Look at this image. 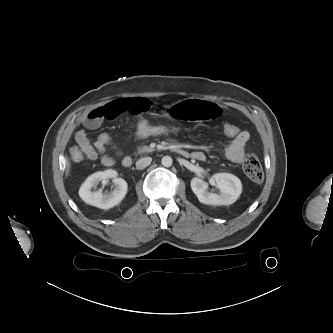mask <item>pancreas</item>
I'll return each instance as SVG.
<instances>
[{
    "instance_id": "1",
    "label": "pancreas",
    "mask_w": 333,
    "mask_h": 333,
    "mask_svg": "<svg viewBox=\"0 0 333 333\" xmlns=\"http://www.w3.org/2000/svg\"><path fill=\"white\" fill-rule=\"evenodd\" d=\"M149 148L147 146H142V147H138V152L139 153H142V152H145V151H148Z\"/></svg>"
}]
</instances>
